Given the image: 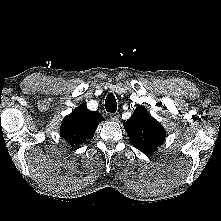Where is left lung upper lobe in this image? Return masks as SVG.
Wrapping results in <instances>:
<instances>
[{"label": "left lung upper lobe", "mask_w": 221, "mask_h": 221, "mask_svg": "<svg viewBox=\"0 0 221 221\" xmlns=\"http://www.w3.org/2000/svg\"><path fill=\"white\" fill-rule=\"evenodd\" d=\"M123 126L133 146L145 154L155 152L165 140L164 128L144 107L138 106Z\"/></svg>", "instance_id": "1"}]
</instances>
